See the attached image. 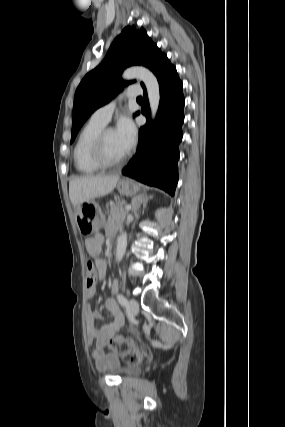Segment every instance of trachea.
Segmentation results:
<instances>
[{"label": "trachea", "instance_id": "obj_1", "mask_svg": "<svg viewBox=\"0 0 285 427\" xmlns=\"http://www.w3.org/2000/svg\"><path fill=\"white\" fill-rule=\"evenodd\" d=\"M137 99H138V100H142V97H138Z\"/></svg>", "mask_w": 285, "mask_h": 427}]
</instances>
